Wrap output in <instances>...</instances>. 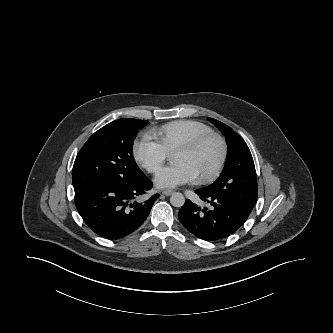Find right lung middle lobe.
<instances>
[{
    "label": "right lung middle lobe",
    "mask_w": 333,
    "mask_h": 333,
    "mask_svg": "<svg viewBox=\"0 0 333 333\" xmlns=\"http://www.w3.org/2000/svg\"><path fill=\"white\" fill-rule=\"evenodd\" d=\"M148 121L118 119L96 131L76 156L72 182L74 188L92 184L128 185L142 173L133 157L138 131Z\"/></svg>",
    "instance_id": "right-lung-middle-lobe-1"
}]
</instances>
